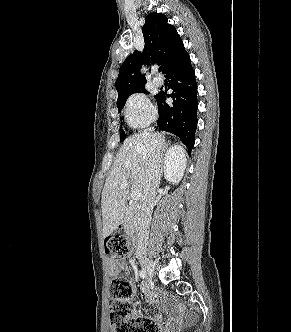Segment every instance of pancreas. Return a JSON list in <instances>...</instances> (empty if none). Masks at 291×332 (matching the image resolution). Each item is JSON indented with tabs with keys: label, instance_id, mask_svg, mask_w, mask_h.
Returning a JSON list of instances; mask_svg holds the SVG:
<instances>
[{
	"label": "pancreas",
	"instance_id": "pancreas-1",
	"mask_svg": "<svg viewBox=\"0 0 291 332\" xmlns=\"http://www.w3.org/2000/svg\"><path fill=\"white\" fill-rule=\"evenodd\" d=\"M138 206L132 205L126 209L124 217V229L127 233L133 231L137 227Z\"/></svg>",
	"mask_w": 291,
	"mask_h": 332
}]
</instances>
